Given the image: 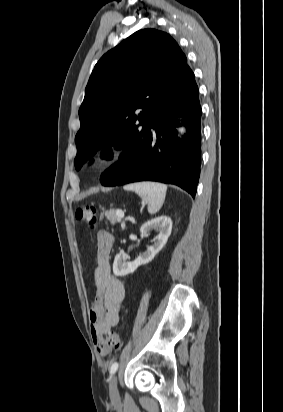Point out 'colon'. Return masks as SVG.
<instances>
[{
  "instance_id": "obj_1",
  "label": "colon",
  "mask_w": 283,
  "mask_h": 412,
  "mask_svg": "<svg viewBox=\"0 0 283 412\" xmlns=\"http://www.w3.org/2000/svg\"><path fill=\"white\" fill-rule=\"evenodd\" d=\"M75 218L81 224H86L90 228H94L97 222V210L92 205H82L75 210ZM120 345V337L117 333H108L101 342L103 350L118 348Z\"/></svg>"
}]
</instances>
